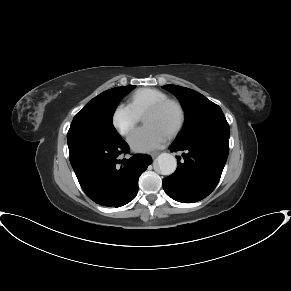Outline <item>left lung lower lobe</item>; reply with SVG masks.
I'll return each instance as SVG.
<instances>
[{"mask_svg": "<svg viewBox=\"0 0 291 291\" xmlns=\"http://www.w3.org/2000/svg\"><path fill=\"white\" fill-rule=\"evenodd\" d=\"M230 130L210 132L194 139L174 142L171 151H184L177 157L176 171L163 179V188L172 199L193 203L208 196L221 177L229 153Z\"/></svg>", "mask_w": 291, "mask_h": 291, "instance_id": "1", "label": "left lung lower lobe"}]
</instances>
